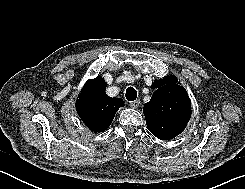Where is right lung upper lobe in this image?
Masks as SVG:
<instances>
[{
    "label": "right lung upper lobe",
    "instance_id": "obj_1",
    "mask_svg": "<svg viewBox=\"0 0 245 189\" xmlns=\"http://www.w3.org/2000/svg\"><path fill=\"white\" fill-rule=\"evenodd\" d=\"M106 83L101 77L88 80L76 100V110L93 132L105 131L111 124L115 113L124 106L121 98L106 95Z\"/></svg>",
    "mask_w": 245,
    "mask_h": 189
}]
</instances>
